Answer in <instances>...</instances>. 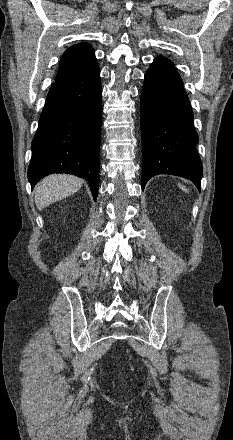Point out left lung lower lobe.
<instances>
[{"label":"left lung lower lobe","instance_id":"0a47b994","mask_svg":"<svg viewBox=\"0 0 233 440\" xmlns=\"http://www.w3.org/2000/svg\"><path fill=\"white\" fill-rule=\"evenodd\" d=\"M142 189L158 174L190 179L200 189L202 163L193 112L171 61L157 57L145 74L141 94Z\"/></svg>","mask_w":233,"mask_h":440}]
</instances>
